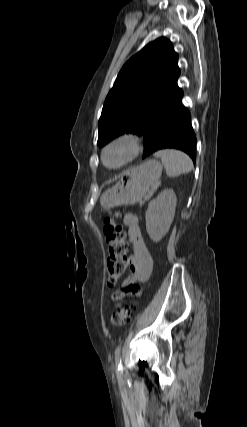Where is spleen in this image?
Returning <instances> with one entry per match:
<instances>
[{
	"instance_id": "spleen-1",
	"label": "spleen",
	"mask_w": 247,
	"mask_h": 427,
	"mask_svg": "<svg viewBox=\"0 0 247 427\" xmlns=\"http://www.w3.org/2000/svg\"><path fill=\"white\" fill-rule=\"evenodd\" d=\"M155 157H160L166 173L170 177L189 173L193 169L190 157L179 150L164 149L156 152Z\"/></svg>"
}]
</instances>
